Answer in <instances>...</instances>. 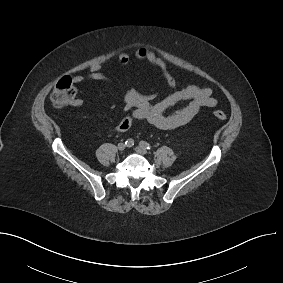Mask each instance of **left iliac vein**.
<instances>
[{
	"label": "left iliac vein",
	"instance_id": "left-iliac-vein-1",
	"mask_svg": "<svg viewBox=\"0 0 283 283\" xmlns=\"http://www.w3.org/2000/svg\"><path fill=\"white\" fill-rule=\"evenodd\" d=\"M135 151L141 155L147 154V150L141 146L135 147Z\"/></svg>",
	"mask_w": 283,
	"mask_h": 283
}]
</instances>
